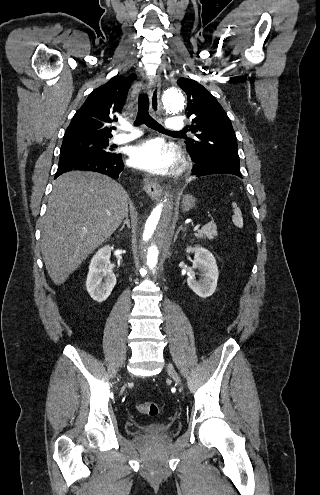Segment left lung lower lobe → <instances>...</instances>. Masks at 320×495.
<instances>
[{
    "label": "left lung lower lobe",
    "mask_w": 320,
    "mask_h": 495,
    "mask_svg": "<svg viewBox=\"0 0 320 495\" xmlns=\"http://www.w3.org/2000/svg\"><path fill=\"white\" fill-rule=\"evenodd\" d=\"M191 158L193 162L196 163L195 167L192 169V175L199 177L212 174H232L242 178L240 168L224 164H211L206 162L203 157L197 155H191Z\"/></svg>",
    "instance_id": "obj_1"
}]
</instances>
